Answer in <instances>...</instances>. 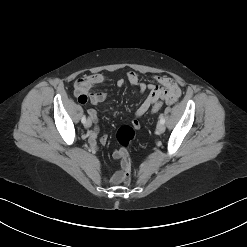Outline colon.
<instances>
[{
    "instance_id": "obj_1",
    "label": "colon",
    "mask_w": 247,
    "mask_h": 247,
    "mask_svg": "<svg viewBox=\"0 0 247 247\" xmlns=\"http://www.w3.org/2000/svg\"><path fill=\"white\" fill-rule=\"evenodd\" d=\"M163 107L161 100L156 101L152 106V112L157 113ZM139 127L138 121L134 120L130 125L122 126L118 129L116 139L120 148L117 150L121 159V179L124 183L131 181V163L127 147L135 138V131Z\"/></svg>"
}]
</instances>
